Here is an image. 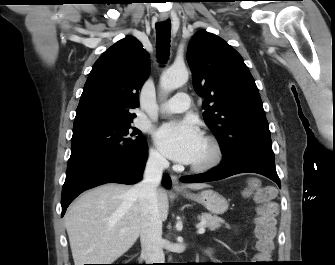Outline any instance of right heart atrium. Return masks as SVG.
<instances>
[{
  "instance_id": "obj_1",
  "label": "right heart atrium",
  "mask_w": 335,
  "mask_h": 265,
  "mask_svg": "<svg viewBox=\"0 0 335 265\" xmlns=\"http://www.w3.org/2000/svg\"><path fill=\"white\" fill-rule=\"evenodd\" d=\"M149 162L156 167H164L166 165V159L156 147H152L149 151Z\"/></svg>"
}]
</instances>
